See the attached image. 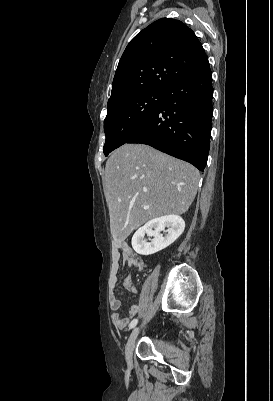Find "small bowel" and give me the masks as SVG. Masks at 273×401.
<instances>
[{"label":"small bowel","mask_w":273,"mask_h":401,"mask_svg":"<svg viewBox=\"0 0 273 401\" xmlns=\"http://www.w3.org/2000/svg\"><path fill=\"white\" fill-rule=\"evenodd\" d=\"M112 265L109 276V289L111 292L110 307L112 311V320L115 325L120 330L126 329L129 323L134 319L141 307L144 304H152L154 301L153 296L149 290L140 291H128L130 293L136 294L138 300L133 303L126 315H120L119 310L121 308L122 302L120 298L116 295L118 287V272L120 269V262L127 264L130 267L141 268L143 266L142 262L133 256V250L127 243H116L112 248ZM123 287H134L135 280L130 276H126L122 280Z\"/></svg>","instance_id":"small-bowel-1"}]
</instances>
